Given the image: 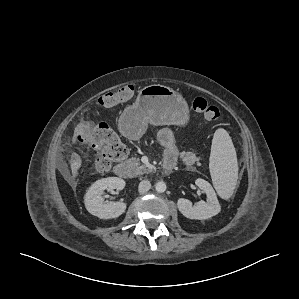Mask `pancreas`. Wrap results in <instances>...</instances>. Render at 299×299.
I'll return each instance as SVG.
<instances>
[{"mask_svg": "<svg viewBox=\"0 0 299 299\" xmlns=\"http://www.w3.org/2000/svg\"><path fill=\"white\" fill-rule=\"evenodd\" d=\"M180 159L187 166V169L191 171L196 170L194 164H197L198 166L201 165V163L199 162L200 157H197L193 152H182L180 154ZM127 162L133 167L135 175H142L151 171L145 165L140 163L139 158L134 157L129 159Z\"/></svg>", "mask_w": 299, "mask_h": 299, "instance_id": "obj_1", "label": "pancreas"}]
</instances>
